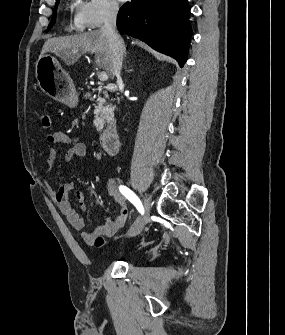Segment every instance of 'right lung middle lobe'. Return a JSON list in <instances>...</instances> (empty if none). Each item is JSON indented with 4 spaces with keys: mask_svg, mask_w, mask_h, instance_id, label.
<instances>
[{
    "mask_svg": "<svg viewBox=\"0 0 285 335\" xmlns=\"http://www.w3.org/2000/svg\"><path fill=\"white\" fill-rule=\"evenodd\" d=\"M56 9H57V5L55 6V11ZM55 19H56V13H54L53 18L48 26L49 29L54 25Z\"/></svg>",
    "mask_w": 285,
    "mask_h": 335,
    "instance_id": "dd1d6c3e",
    "label": "right lung middle lobe"
}]
</instances>
